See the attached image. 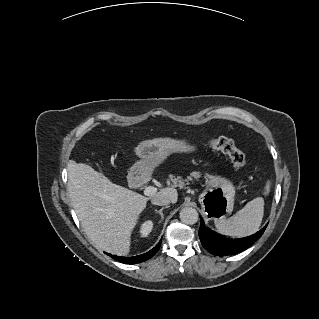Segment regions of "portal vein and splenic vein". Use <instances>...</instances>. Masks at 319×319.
Instances as JSON below:
<instances>
[{
  "instance_id": "18ae733b",
  "label": "portal vein and splenic vein",
  "mask_w": 319,
  "mask_h": 319,
  "mask_svg": "<svg viewBox=\"0 0 319 319\" xmlns=\"http://www.w3.org/2000/svg\"><path fill=\"white\" fill-rule=\"evenodd\" d=\"M157 190V188L151 186L148 188V195H152L155 194V191Z\"/></svg>"
}]
</instances>
